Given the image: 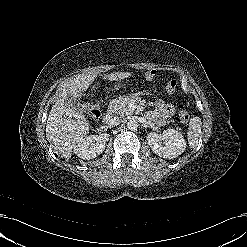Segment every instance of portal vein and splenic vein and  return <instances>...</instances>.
<instances>
[{"instance_id":"1","label":"portal vein and splenic vein","mask_w":247,"mask_h":247,"mask_svg":"<svg viewBox=\"0 0 247 247\" xmlns=\"http://www.w3.org/2000/svg\"><path fill=\"white\" fill-rule=\"evenodd\" d=\"M131 107H132V108H136V106H134V105H131Z\"/></svg>"}]
</instances>
